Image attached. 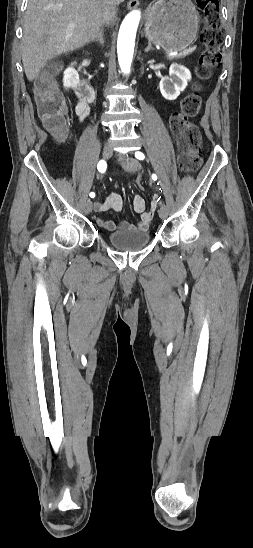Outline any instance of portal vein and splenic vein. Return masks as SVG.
Returning <instances> with one entry per match:
<instances>
[{"instance_id":"portal-vein-and-splenic-vein-1","label":"portal vein and splenic vein","mask_w":253,"mask_h":548,"mask_svg":"<svg viewBox=\"0 0 253 548\" xmlns=\"http://www.w3.org/2000/svg\"><path fill=\"white\" fill-rule=\"evenodd\" d=\"M177 54H178L177 52L169 53L168 56H176Z\"/></svg>"}]
</instances>
